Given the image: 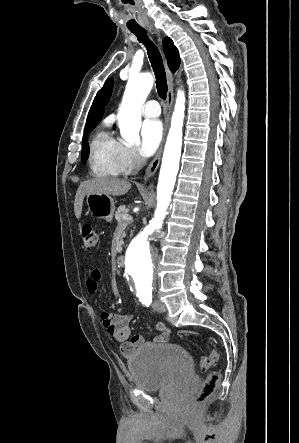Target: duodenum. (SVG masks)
<instances>
[{
    "mask_svg": "<svg viewBox=\"0 0 299 443\" xmlns=\"http://www.w3.org/2000/svg\"><path fill=\"white\" fill-rule=\"evenodd\" d=\"M116 265L119 266V267H122L124 265V259H123L122 256H118L116 258Z\"/></svg>",
    "mask_w": 299,
    "mask_h": 443,
    "instance_id": "duodenum-1",
    "label": "duodenum"
}]
</instances>
